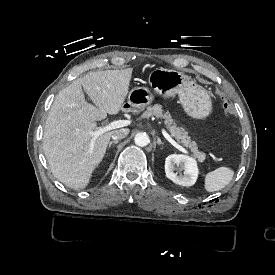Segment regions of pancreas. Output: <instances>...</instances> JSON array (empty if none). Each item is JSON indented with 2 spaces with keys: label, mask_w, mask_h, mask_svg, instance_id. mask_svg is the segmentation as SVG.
<instances>
[{
  "label": "pancreas",
  "mask_w": 275,
  "mask_h": 275,
  "mask_svg": "<svg viewBox=\"0 0 275 275\" xmlns=\"http://www.w3.org/2000/svg\"><path fill=\"white\" fill-rule=\"evenodd\" d=\"M160 118L164 120L166 127L169 128L171 135L183 146L191 148L194 151V156L199 160H204V155L198 151H196V146L193 142L190 141V137L188 136V132L180 127L175 120L172 118L169 110H163L162 105L155 104L152 107H149L142 115V117H152Z\"/></svg>",
  "instance_id": "1"
}]
</instances>
